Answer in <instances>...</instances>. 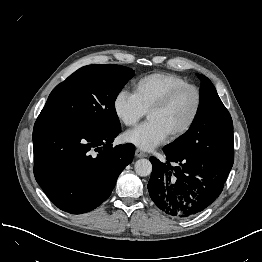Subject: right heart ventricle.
Masks as SVG:
<instances>
[{
  "instance_id": "e07e8e85",
  "label": "right heart ventricle",
  "mask_w": 262,
  "mask_h": 262,
  "mask_svg": "<svg viewBox=\"0 0 262 262\" xmlns=\"http://www.w3.org/2000/svg\"><path fill=\"white\" fill-rule=\"evenodd\" d=\"M185 84H188L187 80L179 75L158 72L139 79L133 87V93L142 108L147 112L154 103L169 91Z\"/></svg>"
}]
</instances>
